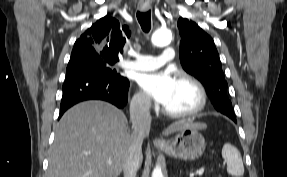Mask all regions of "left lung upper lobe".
<instances>
[{"instance_id":"1","label":"left lung upper lobe","mask_w":287,"mask_h":177,"mask_svg":"<svg viewBox=\"0 0 287 177\" xmlns=\"http://www.w3.org/2000/svg\"><path fill=\"white\" fill-rule=\"evenodd\" d=\"M180 61L184 70L197 78L205 87L217 111L234 116L227 96V82L213 39L195 22L178 20Z\"/></svg>"}]
</instances>
